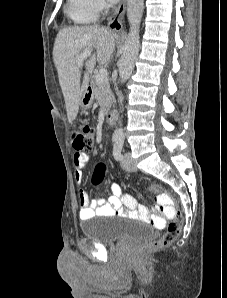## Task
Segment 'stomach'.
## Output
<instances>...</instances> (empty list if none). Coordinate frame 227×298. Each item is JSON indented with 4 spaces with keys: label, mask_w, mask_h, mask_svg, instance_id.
Instances as JSON below:
<instances>
[{
    "label": "stomach",
    "mask_w": 227,
    "mask_h": 298,
    "mask_svg": "<svg viewBox=\"0 0 227 298\" xmlns=\"http://www.w3.org/2000/svg\"><path fill=\"white\" fill-rule=\"evenodd\" d=\"M93 94L89 91V89L87 88L84 93L82 94L81 100H80V107L83 110H87L92 106L93 103Z\"/></svg>",
    "instance_id": "1"
}]
</instances>
